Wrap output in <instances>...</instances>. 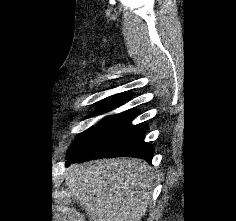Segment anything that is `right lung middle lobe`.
Instances as JSON below:
<instances>
[{"mask_svg":"<svg viewBox=\"0 0 236 221\" xmlns=\"http://www.w3.org/2000/svg\"><path fill=\"white\" fill-rule=\"evenodd\" d=\"M131 94H116L113 96H110L106 98L101 103V110L102 111H108L111 109H114L118 106H121L126 101L130 99ZM112 116H107L104 119H102L100 122H98L96 125H94L91 129L87 130L86 132L79 135L71 144L67 156L72 154L77 148H79L88 138H90L108 119H110Z\"/></svg>","mask_w":236,"mask_h":221,"instance_id":"obj_1","label":"right lung middle lobe"}]
</instances>
